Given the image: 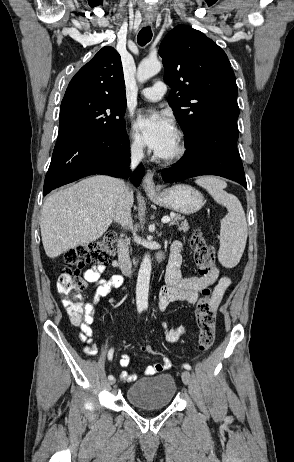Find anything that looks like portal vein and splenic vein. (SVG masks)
I'll list each match as a JSON object with an SVG mask.
<instances>
[{
  "instance_id": "18ae733b",
  "label": "portal vein and splenic vein",
  "mask_w": 294,
  "mask_h": 462,
  "mask_svg": "<svg viewBox=\"0 0 294 462\" xmlns=\"http://www.w3.org/2000/svg\"><path fill=\"white\" fill-rule=\"evenodd\" d=\"M170 220L171 219L169 217H163L161 221H162V223H168V222H170Z\"/></svg>"
}]
</instances>
